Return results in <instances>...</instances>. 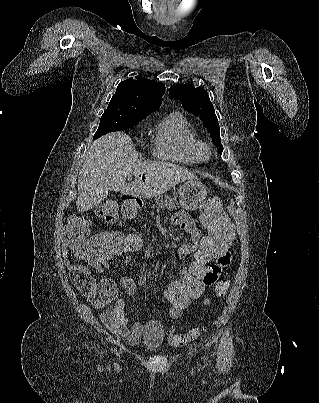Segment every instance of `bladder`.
Returning <instances> with one entry per match:
<instances>
[{
    "instance_id": "1",
    "label": "bladder",
    "mask_w": 319,
    "mask_h": 403,
    "mask_svg": "<svg viewBox=\"0 0 319 403\" xmlns=\"http://www.w3.org/2000/svg\"><path fill=\"white\" fill-rule=\"evenodd\" d=\"M145 336L143 338V345L150 349H158L164 339V328L157 322L152 321L144 326Z\"/></svg>"
}]
</instances>
